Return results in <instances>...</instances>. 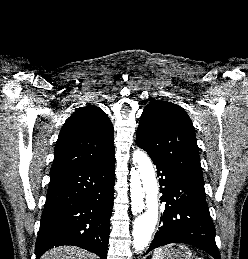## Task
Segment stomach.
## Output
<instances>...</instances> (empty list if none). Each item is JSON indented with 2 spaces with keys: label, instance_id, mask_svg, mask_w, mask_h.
Returning <instances> with one entry per match:
<instances>
[{
  "label": "stomach",
  "instance_id": "1",
  "mask_svg": "<svg viewBox=\"0 0 248 259\" xmlns=\"http://www.w3.org/2000/svg\"><path fill=\"white\" fill-rule=\"evenodd\" d=\"M160 249V259H192L191 250L183 244L168 245Z\"/></svg>",
  "mask_w": 248,
  "mask_h": 259
}]
</instances>
